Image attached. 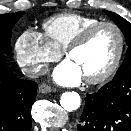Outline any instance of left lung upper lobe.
Listing matches in <instances>:
<instances>
[{"label": "left lung upper lobe", "mask_w": 131, "mask_h": 131, "mask_svg": "<svg viewBox=\"0 0 131 131\" xmlns=\"http://www.w3.org/2000/svg\"><path fill=\"white\" fill-rule=\"evenodd\" d=\"M105 13L121 29V31L123 32L126 38V42L128 45L125 60L123 64L120 66V68L118 69L116 75L114 76V79L131 76V23H129L127 20H125L124 18L113 12L105 11Z\"/></svg>", "instance_id": "left-lung-upper-lobe-1"}]
</instances>
